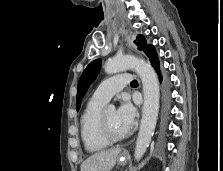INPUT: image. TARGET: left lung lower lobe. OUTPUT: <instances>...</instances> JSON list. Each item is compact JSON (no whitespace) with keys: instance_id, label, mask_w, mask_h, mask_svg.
<instances>
[{"instance_id":"1","label":"left lung lower lobe","mask_w":223,"mask_h":171,"mask_svg":"<svg viewBox=\"0 0 223 171\" xmlns=\"http://www.w3.org/2000/svg\"><path fill=\"white\" fill-rule=\"evenodd\" d=\"M145 54L148 56L152 66L159 73V78L161 81L163 78L159 72V60L155 48L151 45ZM169 92L170 91L168 81L167 79H164V98L166 102L165 116H167L168 114Z\"/></svg>"}]
</instances>
